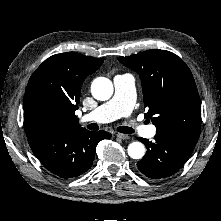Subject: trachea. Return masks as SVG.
<instances>
[{"label":"trachea","mask_w":221,"mask_h":221,"mask_svg":"<svg viewBox=\"0 0 221 221\" xmlns=\"http://www.w3.org/2000/svg\"><path fill=\"white\" fill-rule=\"evenodd\" d=\"M93 128L95 130L98 129V126L96 124H93ZM117 131L121 132V133H125V134H130V133H133L134 130L130 127H127V126H120L117 128Z\"/></svg>","instance_id":"1"}]
</instances>
